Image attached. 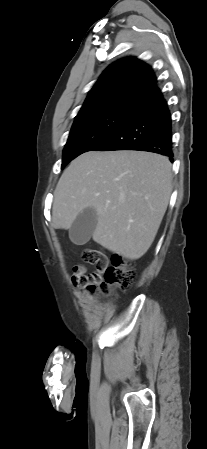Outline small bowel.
<instances>
[{
	"instance_id": "1",
	"label": "small bowel",
	"mask_w": 207,
	"mask_h": 449,
	"mask_svg": "<svg viewBox=\"0 0 207 449\" xmlns=\"http://www.w3.org/2000/svg\"><path fill=\"white\" fill-rule=\"evenodd\" d=\"M86 268L83 265H76L73 268V275L71 277V281L75 285H79L86 281L85 278Z\"/></svg>"
}]
</instances>
